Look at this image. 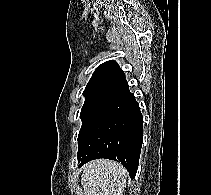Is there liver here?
<instances>
[{
    "mask_svg": "<svg viewBox=\"0 0 211 195\" xmlns=\"http://www.w3.org/2000/svg\"><path fill=\"white\" fill-rule=\"evenodd\" d=\"M127 170L118 162L97 159L82 168L84 195H123Z\"/></svg>",
    "mask_w": 211,
    "mask_h": 195,
    "instance_id": "liver-1",
    "label": "liver"
}]
</instances>
